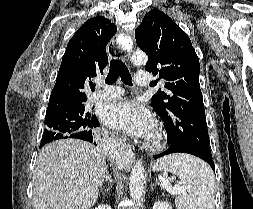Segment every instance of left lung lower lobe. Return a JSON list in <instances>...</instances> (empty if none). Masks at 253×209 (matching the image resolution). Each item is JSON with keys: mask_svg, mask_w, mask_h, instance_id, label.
I'll return each instance as SVG.
<instances>
[{"mask_svg": "<svg viewBox=\"0 0 253 209\" xmlns=\"http://www.w3.org/2000/svg\"><path fill=\"white\" fill-rule=\"evenodd\" d=\"M171 153H188V154L195 155V156L203 159L204 161H206L212 167V169L215 172L214 162L212 160V155L204 153V152L196 151V150L179 149V148H171V147H169L166 151H164V152H162V153H160L158 155H155L153 157H154V159H157V158L163 157V156L171 154Z\"/></svg>", "mask_w": 253, "mask_h": 209, "instance_id": "obj_1", "label": "left lung lower lobe"}]
</instances>
